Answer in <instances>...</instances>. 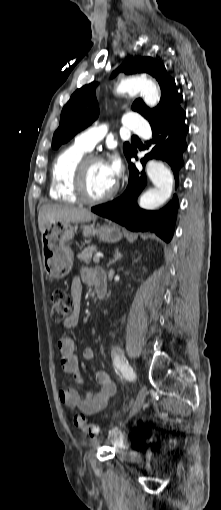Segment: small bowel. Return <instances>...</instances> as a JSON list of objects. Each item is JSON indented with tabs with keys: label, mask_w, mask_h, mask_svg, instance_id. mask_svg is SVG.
I'll use <instances>...</instances> for the list:
<instances>
[{
	"label": "small bowel",
	"mask_w": 221,
	"mask_h": 510,
	"mask_svg": "<svg viewBox=\"0 0 221 510\" xmlns=\"http://www.w3.org/2000/svg\"><path fill=\"white\" fill-rule=\"evenodd\" d=\"M94 269H82L80 276L76 277L71 285V295L74 301L72 313L62 321L65 328L77 326L80 315L81 297L83 283L94 285ZM58 348L61 354L60 366L63 372L72 376L79 384L83 379L79 370V363L75 354V342L70 336H63L58 341ZM85 359H92L94 356V347L86 346L83 350ZM95 379L100 389L98 391L86 390L82 396L76 389H61L58 392L60 402L71 410L78 409L85 415H93L103 410L111 401L116 393V385L111 377L104 371H97Z\"/></svg>",
	"instance_id": "small-bowel-1"
}]
</instances>
